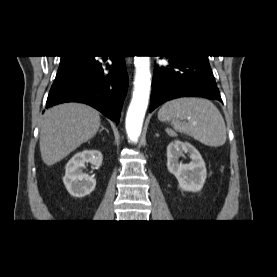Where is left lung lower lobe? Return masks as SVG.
<instances>
[{"label": "left lung lower lobe", "instance_id": "left-lung-lower-lobe-1", "mask_svg": "<svg viewBox=\"0 0 277 277\" xmlns=\"http://www.w3.org/2000/svg\"><path fill=\"white\" fill-rule=\"evenodd\" d=\"M168 66H156L153 73L150 111L179 97L221 100L208 56L174 55Z\"/></svg>", "mask_w": 277, "mask_h": 277}]
</instances>
